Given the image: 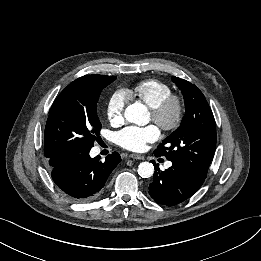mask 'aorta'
Segmentation results:
<instances>
[{
  "label": "aorta",
  "mask_w": 261,
  "mask_h": 261,
  "mask_svg": "<svg viewBox=\"0 0 261 261\" xmlns=\"http://www.w3.org/2000/svg\"><path fill=\"white\" fill-rule=\"evenodd\" d=\"M125 119L139 126H144L149 122L148 111L145 105L134 103L129 105L124 111ZM138 174L142 178H149L154 173V166L149 162H142L138 166Z\"/></svg>",
  "instance_id": "obj_1"
}]
</instances>
